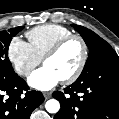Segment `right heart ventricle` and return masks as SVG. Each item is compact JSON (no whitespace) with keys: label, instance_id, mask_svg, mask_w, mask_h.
<instances>
[{"label":"right heart ventricle","instance_id":"1","mask_svg":"<svg viewBox=\"0 0 119 119\" xmlns=\"http://www.w3.org/2000/svg\"><path fill=\"white\" fill-rule=\"evenodd\" d=\"M73 32L58 24H44L27 32L26 36L34 53L43 59L48 50L61 39L72 35Z\"/></svg>","mask_w":119,"mask_h":119}]
</instances>
